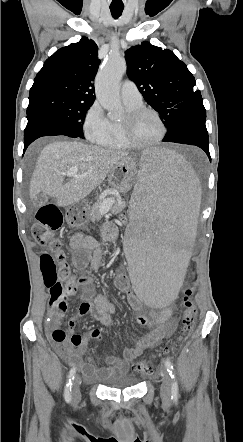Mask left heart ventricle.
I'll return each instance as SVG.
<instances>
[{
	"mask_svg": "<svg viewBox=\"0 0 243 442\" xmlns=\"http://www.w3.org/2000/svg\"><path fill=\"white\" fill-rule=\"evenodd\" d=\"M160 124L152 113L140 116L134 124L132 136L137 142H151L160 135Z\"/></svg>",
	"mask_w": 243,
	"mask_h": 442,
	"instance_id": "b2bd125f",
	"label": "left heart ventricle"
}]
</instances>
